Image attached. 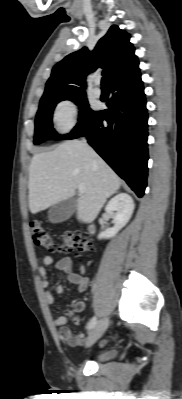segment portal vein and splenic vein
Instances as JSON below:
<instances>
[{
	"instance_id": "18ae733b",
	"label": "portal vein and splenic vein",
	"mask_w": 182,
	"mask_h": 399,
	"mask_svg": "<svg viewBox=\"0 0 182 399\" xmlns=\"http://www.w3.org/2000/svg\"><path fill=\"white\" fill-rule=\"evenodd\" d=\"M78 190H79V193H85V191H86V187H85V185H83V184H80L79 186H78Z\"/></svg>"
}]
</instances>
